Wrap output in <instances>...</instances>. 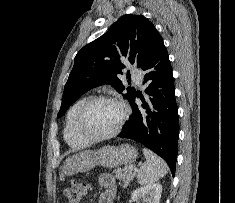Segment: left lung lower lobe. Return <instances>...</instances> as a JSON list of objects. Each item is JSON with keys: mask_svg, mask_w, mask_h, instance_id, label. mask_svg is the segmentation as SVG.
<instances>
[{"mask_svg": "<svg viewBox=\"0 0 235 203\" xmlns=\"http://www.w3.org/2000/svg\"><path fill=\"white\" fill-rule=\"evenodd\" d=\"M145 71L143 84L149 95L141 98V108L132 97L129 101L133 114L122 128L118 137L137 141L162 157L175 175L179 118L175 99L172 69L162 38L156 43L154 50L141 68Z\"/></svg>", "mask_w": 235, "mask_h": 203, "instance_id": "1", "label": "left lung lower lobe"}]
</instances>
